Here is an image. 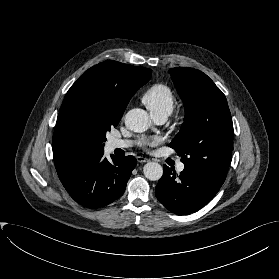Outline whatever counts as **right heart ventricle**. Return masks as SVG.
I'll return each instance as SVG.
<instances>
[{
  "instance_id": "right-heart-ventricle-1",
  "label": "right heart ventricle",
  "mask_w": 279,
  "mask_h": 279,
  "mask_svg": "<svg viewBox=\"0 0 279 279\" xmlns=\"http://www.w3.org/2000/svg\"><path fill=\"white\" fill-rule=\"evenodd\" d=\"M152 116L158 114H170L174 107V95L169 86L156 83L150 86L142 97Z\"/></svg>"
}]
</instances>
